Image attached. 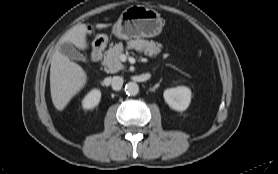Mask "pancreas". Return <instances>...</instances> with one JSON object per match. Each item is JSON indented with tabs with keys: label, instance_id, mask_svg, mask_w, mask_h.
I'll return each mask as SVG.
<instances>
[{
	"label": "pancreas",
	"instance_id": "cf45deb5",
	"mask_svg": "<svg viewBox=\"0 0 278 174\" xmlns=\"http://www.w3.org/2000/svg\"><path fill=\"white\" fill-rule=\"evenodd\" d=\"M126 48L128 50L135 49L149 57H155L157 56V54L161 52L160 44L155 43L152 40L148 41L144 39L130 40L127 42ZM123 51L124 47L122 42L115 44L112 48L106 51L103 64L107 72L116 73L124 69V65L120 61V56L123 53Z\"/></svg>",
	"mask_w": 278,
	"mask_h": 174
}]
</instances>
